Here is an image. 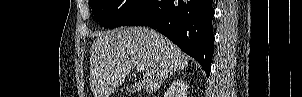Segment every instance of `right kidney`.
<instances>
[{
  "label": "right kidney",
  "instance_id": "right-kidney-1",
  "mask_svg": "<svg viewBox=\"0 0 302 97\" xmlns=\"http://www.w3.org/2000/svg\"><path fill=\"white\" fill-rule=\"evenodd\" d=\"M188 86L186 85L185 81L182 79H176L172 82L169 87V94L172 95L176 92L180 97H186Z\"/></svg>",
  "mask_w": 302,
  "mask_h": 97
}]
</instances>
